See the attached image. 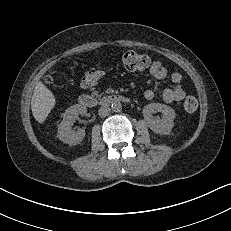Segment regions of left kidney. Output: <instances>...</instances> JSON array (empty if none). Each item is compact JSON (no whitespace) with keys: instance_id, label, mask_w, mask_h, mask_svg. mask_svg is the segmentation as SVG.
I'll use <instances>...</instances> for the list:
<instances>
[{"instance_id":"5707ae66","label":"left kidney","mask_w":231,"mask_h":231,"mask_svg":"<svg viewBox=\"0 0 231 231\" xmlns=\"http://www.w3.org/2000/svg\"><path fill=\"white\" fill-rule=\"evenodd\" d=\"M156 112L162 113L161 119L153 116ZM143 116L148 127L154 133L168 135L174 126L176 114L170 106L161 103H150L144 107Z\"/></svg>"}]
</instances>
